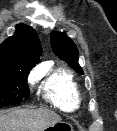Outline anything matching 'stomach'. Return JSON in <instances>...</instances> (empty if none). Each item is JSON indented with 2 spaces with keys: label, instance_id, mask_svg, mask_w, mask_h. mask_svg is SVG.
<instances>
[{
  "label": "stomach",
  "instance_id": "stomach-1",
  "mask_svg": "<svg viewBox=\"0 0 117 131\" xmlns=\"http://www.w3.org/2000/svg\"><path fill=\"white\" fill-rule=\"evenodd\" d=\"M44 130L46 131H73V126L69 122L60 120L54 124L49 125Z\"/></svg>",
  "mask_w": 117,
  "mask_h": 131
}]
</instances>
